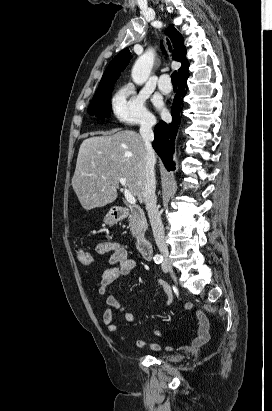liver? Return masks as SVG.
<instances>
[{"label":"liver","mask_w":272,"mask_h":411,"mask_svg":"<svg viewBox=\"0 0 272 411\" xmlns=\"http://www.w3.org/2000/svg\"><path fill=\"white\" fill-rule=\"evenodd\" d=\"M145 144L140 134L124 130L85 139L79 148L72 186L85 210L103 207L117 198L119 178L143 201Z\"/></svg>","instance_id":"1"}]
</instances>
